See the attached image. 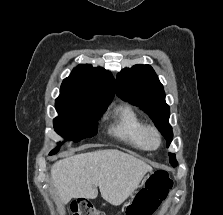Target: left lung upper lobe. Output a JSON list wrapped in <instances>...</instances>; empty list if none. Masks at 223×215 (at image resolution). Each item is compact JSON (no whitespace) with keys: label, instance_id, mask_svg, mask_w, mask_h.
Returning a JSON list of instances; mask_svg holds the SVG:
<instances>
[{"label":"left lung upper lobe","instance_id":"1","mask_svg":"<svg viewBox=\"0 0 223 215\" xmlns=\"http://www.w3.org/2000/svg\"><path fill=\"white\" fill-rule=\"evenodd\" d=\"M116 93L121 99L144 110L167 140L172 141V127L169 124L170 109L165 102L163 85L150 65H134L117 75ZM172 166L177 165L174 153H169Z\"/></svg>","mask_w":223,"mask_h":215}]
</instances>
